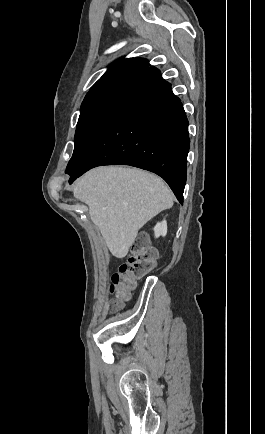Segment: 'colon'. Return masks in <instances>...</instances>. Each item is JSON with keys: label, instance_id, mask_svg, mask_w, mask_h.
Segmentation results:
<instances>
[{"label": "colon", "instance_id": "obj_1", "mask_svg": "<svg viewBox=\"0 0 265 434\" xmlns=\"http://www.w3.org/2000/svg\"><path fill=\"white\" fill-rule=\"evenodd\" d=\"M156 263V250L147 244L143 235H137L127 261L120 265L118 272L112 277L110 290L113 299L110 305L119 309L136 288L137 281L149 274L156 267Z\"/></svg>", "mask_w": 265, "mask_h": 434}]
</instances>
